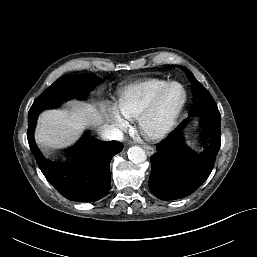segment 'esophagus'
Returning a JSON list of instances; mask_svg holds the SVG:
<instances>
[{
  "label": "esophagus",
  "mask_w": 257,
  "mask_h": 257,
  "mask_svg": "<svg viewBox=\"0 0 257 257\" xmlns=\"http://www.w3.org/2000/svg\"><path fill=\"white\" fill-rule=\"evenodd\" d=\"M143 149L149 156L154 154V149L151 146L145 145V146H143Z\"/></svg>",
  "instance_id": "esophagus-1"
}]
</instances>
